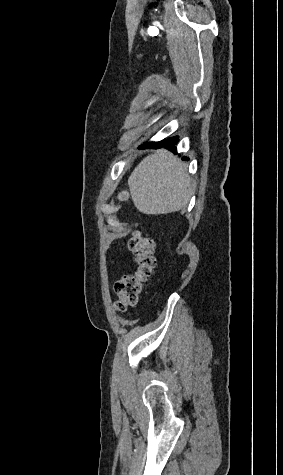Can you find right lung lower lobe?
<instances>
[{
	"label": "right lung lower lobe",
	"instance_id": "98d812e1",
	"mask_svg": "<svg viewBox=\"0 0 283 475\" xmlns=\"http://www.w3.org/2000/svg\"><path fill=\"white\" fill-rule=\"evenodd\" d=\"M178 141H179L178 137H170L160 142L149 143V145L151 148L165 147L173 151L174 153H176V151L173 148H175V145Z\"/></svg>",
	"mask_w": 283,
	"mask_h": 475
}]
</instances>
